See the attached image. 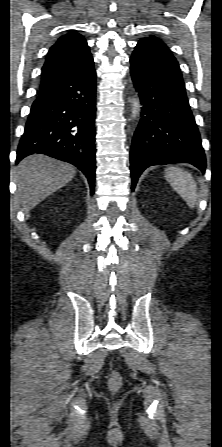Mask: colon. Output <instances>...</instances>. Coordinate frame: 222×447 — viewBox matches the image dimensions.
<instances>
[{
    "label": "colon",
    "mask_w": 222,
    "mask_h": 447,
    "mask_svg": "<svg viewBox=\"0 0 222 447\" xmlns=\"http://www.w3.org/2000/svg\"><path fill=\"white\" fill-rule=\"evenodd\" d=\"M122 386V377L119 373H112L109 381L108 388L111 392H117Z\"/></svg>",
    "instance_id": "1"
}]
</instances>
